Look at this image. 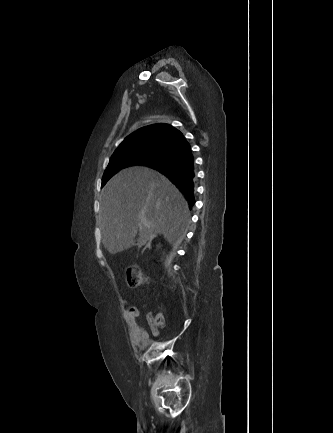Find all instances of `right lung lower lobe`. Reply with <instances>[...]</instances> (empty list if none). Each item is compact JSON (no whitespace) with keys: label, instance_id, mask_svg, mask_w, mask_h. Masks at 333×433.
I'll return each instance as SVG.
<instances>
[{"label":"right lung lower lobe","instance_id":"right-lung-lower-lobe-1","mask_svg":"<svg viewBox=\"0 0 333 433\" xmlns=\"http://www.w3.org/2000/svg\"><path fill=\"white\" fill-rule=\"evenodd\" d=\"M180 144L165 158L153 161L146 166L153 167L164 174L181 192L191 208L195 204V164L189 143L179 139Z\"/></svg>","mask_w":333,"mask_h":433}]
</instances>
